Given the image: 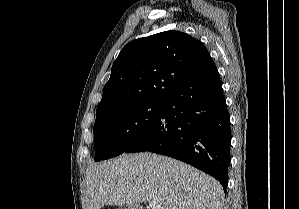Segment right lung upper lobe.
<instances>
[{
    "instance_id": "1",
    "label": "right lung upper lobe",
    "mask_w": 299,
    "mask_h": 209,
    "mask_svg": "<svg viewBox=\"0 0 299 209\" xmlns=\"http://www.w3.org/2000/svg\"><path fill=\"white\" fill-rule=\"evenodd\" d=\"M217 69L204 45L180 31H166L136 39L113 63L97 115L126 104L164 103L186 79Z\"/></svg>"
}]
</instances>
